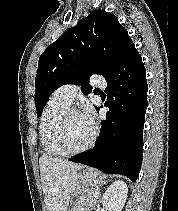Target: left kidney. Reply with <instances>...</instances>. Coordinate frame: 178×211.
Returning <instances> with one entry per match:
<instances>
[{
	"label": "left kidney",
	"mask_w": 178,
	"mask_h": 211,
	"mask_svg": "<svg viewBox=\"0 0 178 211\" xmlns=\"http://www.w3.org/2000/svg\"><path fill=\"white\" fill-rule=\"evenodd\" d=\"M128 194V188L124 181L113 182L102 196V205L106 211H121Z\"/></svg>",
	"instance_id": "5707ae66"
}]
</instances>
